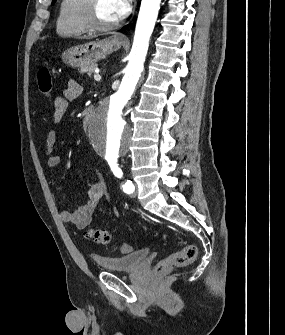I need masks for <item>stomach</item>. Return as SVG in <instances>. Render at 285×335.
I'll list each match as a JSON object with an SVG mask.
<instances>
[{"instance_id":"1","label":"stomach","mask_w":285,"mask_h":335,"mask_svg":"<svg viewBox=\"0 0 285 335\" xmlns=\"http://www.w3.org/2000/svg\"><path fill=\"white\" fill-rule=\"evenodd\" d=\"M113 40L114 38H105V40H97V42H88L83 46L68 48L61 56L62 62L71 68H83V66L96 64L105 56H109L121 48V42H113Z\"/></svg>"}]
</instances>
